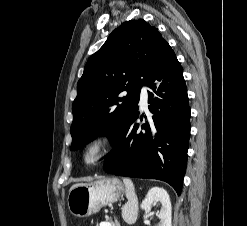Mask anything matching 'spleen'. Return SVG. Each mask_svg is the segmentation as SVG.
<instances>
[{
	"mask_svg": "<svg viewBox=\"0 0 247 226\" xmlns=\"http://www.w3.org/2000/svg\"><path fill=\"white\" fill-rule=\"evenodd\" d=\"M123 183L126 188L125 193L128 202L122 208V216L126 222L132 223L136 219L138 199L132 181L130 179L125 178L123 179Z\"/></svg>",
	"mask_w": 247,
	"mask_h": 226,
	"instance_id": "obj_1",
	"label": "spleen"
}]
</instances>
